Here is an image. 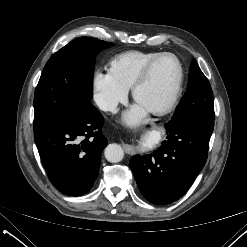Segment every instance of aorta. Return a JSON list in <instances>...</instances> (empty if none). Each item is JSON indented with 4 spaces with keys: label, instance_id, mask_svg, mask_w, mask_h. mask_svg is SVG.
<instances>
[{
    "label": "aorta",
    "instance_id": "1",
    "mask_svg": "<svg viewBox=\"0 0 247 247\" xmlns=\"http://www.w3.org/2000/svg\"><path fill=\"white\" fill-rule=\"evenodd\" d=\"M105 158L111 163H117L122 161L124 157V151L119 144H109L104 150Z\"/></svg>",
    "mask_w": 247,
    "mask_h": 247
}]
</instances>
